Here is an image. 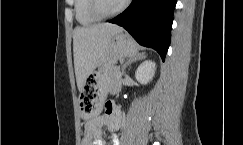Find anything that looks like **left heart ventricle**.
Listing matches in <instances>:
<instances>
[{
    "mask_svg": "<svg viewBox=\"0 0 243 145\" xmlns=\"http://www.w3.org/2000/svg\"><path fill=\"white\" fill-rule=\"evenodd\" d=\"M124 0H101V7L105 12H111L118 9Z\"/></svg>",
    "mask_w": 243,
    "mask_h": 145,
    "instance_id": "1",
    "label": "left heart ventricle"
}]
</instances>
